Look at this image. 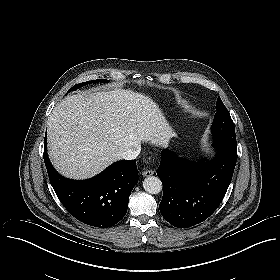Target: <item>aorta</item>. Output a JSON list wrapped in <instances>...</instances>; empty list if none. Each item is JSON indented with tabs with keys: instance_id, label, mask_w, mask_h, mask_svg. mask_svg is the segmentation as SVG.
Segmentation results:
<instances>
[{
	"instance_id": "obj_1",
	"label": "aorta",
	"mask_w": 280,
	"mask_h": 280,
	"mask_svg": "<svg viewBox=\"0 0 280 280\" xmlns=\"http://www.w3.org/2000/svg\"><path fill=\"white\" fill-rule=\"evenodd\" d=\"M143 188L150 194H158L162 190V182L158 177L148 176L143 181Z\"/></svg>"
}]
</instances>
